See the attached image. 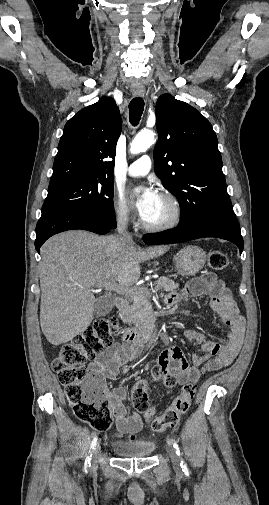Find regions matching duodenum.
<instances>
[{"mask_svg":"<svg viewBox=\"0 0 269 505\" xmlns=\"http://www.w3.org/2000/svg\"><path fill=\"white\" fill-rule=\"evenodd\" d=\"M127 305L128 301L125 297H116L115 308L119 312L123 311ZM120 335L124 343L134 347H140L146 342L157 339L158 327L155 320L153 318H150L140 325L124 327L120 331Z\"/></svg>","mask_w":269,"mask_h":505,"instance_id":"obj_1","label":"duodenum"}]
</instances>
